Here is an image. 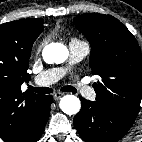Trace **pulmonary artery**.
<instances>
[{
	"label": "pulmonary artery",
	"instance_id": "1",
	"mask_svg": "<svg viewBox=\"0 0 142 142\" xmlns=\"http://www.w3.org/2000/svg\"><path fill=\"white\" fill-rule=\"evenodd\" d=\"M90 47L84 41L72 40L69 43V65L67 67L51 68L43 71L34 78L35 84L39 86H48L61 79L68 71L70 65L80 62L89 54ZM76 90L85 98L94 100L96 93L90 86L82 82L74 84Z\"/></svg>",
	"mask_w": 142,
	"mask_h": 142
}]
</instances>
